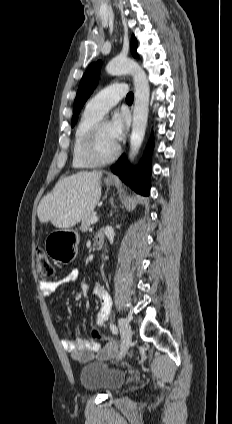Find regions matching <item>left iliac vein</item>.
Instances as JSON below:
<instances>
[{"label": "left iliac vein", "instance_id": "obj_1", "mask_svg": "<svg viewBox=\"0 0 232 424\" xmlns=\"http://www.w3.org/2000/svg\"><path fill=\"white\" fill-rule=\"evenodd\" d=\"M118 325H119V330L122 337V347H121V353L119 357L122 358L130 346L131 339H132V331H131V327L128 320L124 318L119 319Z\"/></svg>", "mask_w": 232, "mask_h": 424}]
</instances>
